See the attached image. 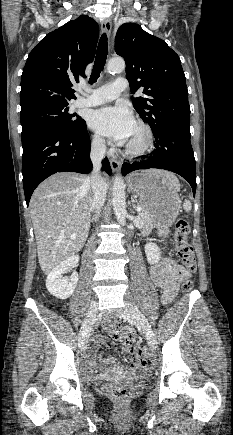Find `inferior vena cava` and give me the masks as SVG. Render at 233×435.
I'll use <instances>...</instances> for the list:
<instances>
[{"mask_svg": "<svg viewBox=\"0 0 233 435\" xmlns=\"http://www.w3.org/2000/svg\"><path fill=\"white\" fill-rule=\"evenodd\" d=\"M106 152V145L104 140L97 139L93 142L91 148V160L93 162V172L88 177L91 181L92 191H93V209L96 212L95 216H99L100 207L104 204L106 200L107 193V183L104 178L101 177L99 170L101 167V160Z\"/></svg>", "mask_w": 233, "mask_h": 435, "instance_id": "inferior-vena-cava-1", "label": "inferior vena cava"}]
</instances>
